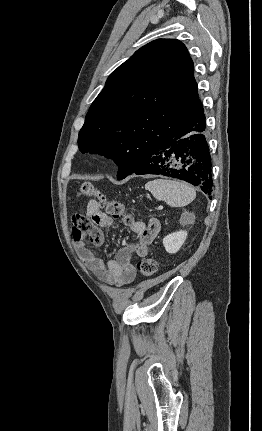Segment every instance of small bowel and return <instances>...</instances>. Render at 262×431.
I'll use <instances>...</instances> for the list:
<instances>
[{
  "label": "small bowel",
  "instance_id": "small-bowel-1",
  "mask_svg": "<svg viewBox=\"0 0 262 431\" xmlns=\"http://www.w3.org/2000/svg\"><path fill=\"white\" fill-rule=\"evenodd\" d=\"M113 224V219L99 210L97 201L93 199L87 203L85 214L79 216L74 223L71 238L91 272L110 285L123 287L134 280L136 269L133 261L148 254L149 245L158 234L161 224L157 218H151L148 223L132 222L129 224V231L135 237V241L105 261L91 251L87 243L102 245L104 236L100 228H109Z\"/></svg>",
  "mask_w": 262,
  "mask_h": 431
}]
</instances>
